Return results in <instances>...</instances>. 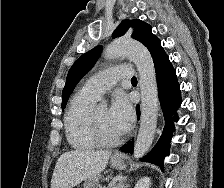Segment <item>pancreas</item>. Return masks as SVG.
<instances>
[{
  "mask_svg": "<svg viewBox=\"0 0 224 188\" xmlns=\"http://www.w3.org/2000/svg\"><path fill=\"white\" fill-rule=\"evenodd\" d=\"M84 188H101L99 177H92L84 183Z\"/></svg>",
  "mask_w": 224,
  "mask_h": 188,
  "instance_id": "cf45deb5",
  "label": "pancreas"
}]
</instances>
